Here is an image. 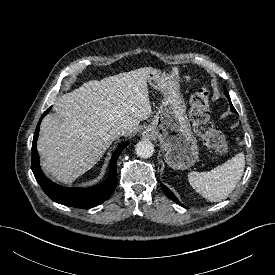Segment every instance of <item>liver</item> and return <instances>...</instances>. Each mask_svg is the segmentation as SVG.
<instances>
[{"label": "liver", "instance_id": "6515ba94", "mask_svg": "<svg viewBox=\"0 0 275 275\" xmlns=\"http://www.w3.org/2000/svg\"><path fill=\"white\" fill-rule=\"evenodd\" d=\"M151 67L92 80L60 96L55 115L40 125L37 150L41 166L57 181L71 183L90 170L119 135L137 130L150 117L147 80Z\"/></svg>", "mask_w": 275, "mask_h": 275}]
</instances>
